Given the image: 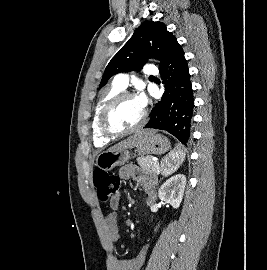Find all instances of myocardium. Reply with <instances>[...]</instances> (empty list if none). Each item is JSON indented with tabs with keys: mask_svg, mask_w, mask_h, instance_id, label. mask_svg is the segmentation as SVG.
I'll list each match as a JSON object with an SVG mask.
<instances>
[{
	"mask_svg": "<svg viewBox=\"0 0 267 270\" xmlns=\"http://www.w3.org/2000/svg\"><path fill=\"white\" fill-rule=\"evenodd\" d=\"M126 99H135L134 95L129 92H120L116 96H114L102 109L99 117V129L103 136L109 139H116L120 137L127 136L132 134L138 130H140L146 123L147 120V113L143 110L142 117L140 121L132 128L117 131L113 129L110 125V116L113 110L124 100Z\"/></svg>",
	"mask_w": 267,
	"mask_h": 270,
	"instance_id": "1",
	"label": "myocardium"
}]
</instances>
